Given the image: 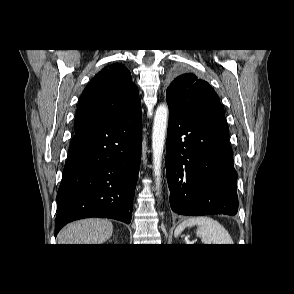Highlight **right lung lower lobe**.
<instances>
[{"instance_id":"1","label":"right lung lower lobe","mask_w":294,"mask_h":294,"mask_svg":"<svg viewBox=\"0 0 294 294\" xmlns=\"http://www.w3.org/2000/svg\"><path fill=\"white\" fill-rule=\"evenodd\" d=\"M141 139L140 103L115 119L75 129L57 193L55 236L81 218L131 222Z\"/></svg>"}]
</instances>
